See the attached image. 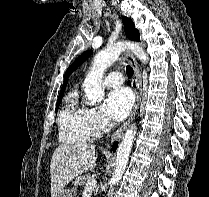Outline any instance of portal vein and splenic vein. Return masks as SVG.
Segmentation results:
<instances>
[{"instance_id": "obj_1", "label": "portal vein and splenic vein", "mask_w": 209, "mask_h": 197, "mask_svg": "<svg viewBox=\"0 0 209 197\" xmlns=\"http://www.w3.org/2000/svg\"><path fill=\"white\" fill-rule=\"evenodd\" d=\"M97 185V181L95 179L87 182L85 188H84V192H90L92 190H94L96 188Z\"/></svg>"}]
</instances>
